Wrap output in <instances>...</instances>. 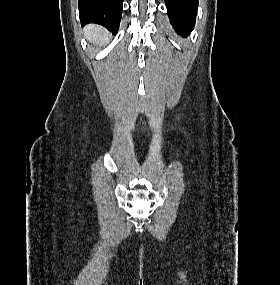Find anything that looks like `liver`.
<instances>
[{
  "label": "liver",
  "mask_w": 280,
  "mask_h": 285,
  "mask_svg": "<svg viewBox=\"0 0 280 285\" xmlns=\"http://www.w3.org/2000/svg\"><path fill=\"white\" fill-rule=\"evenodd\" d=\"M85 35L89 42H95L96 44H102L105 46L109 41V33L101 26L89 25L85 29Z\"/></svg>",
  "instance_id": "6515ba94"
}]
</instances>
